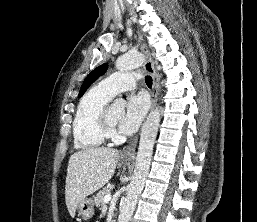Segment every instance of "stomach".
I'll return each instance as SVG.
<instances>
[{
	"mask_svg": "<svg viewBox=\"0 0 257 222\" xmlns=\"http://www.w3.org/2000/svg\"><path fill=\"white\" fill-rule=\"evenodd\" d=\"M125 161H129L128 159H124ZM78 216L83 219H90L94 215V202L91 198L82 199L77 205Z\"/></svg>",
	"mask_w": 257,
	"mask_h": 222,
	"instance_id": "0dacf381",
	"label": "stomach"
}]
</instances>
